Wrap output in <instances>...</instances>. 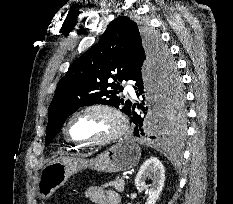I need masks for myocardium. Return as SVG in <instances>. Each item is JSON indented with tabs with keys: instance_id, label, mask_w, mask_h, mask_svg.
I'll list each match as a JSON object with an SVG mask.
<instances>
[{
	"instance_id": "obj_1",
	"label": "myocardium",
	"mask_w": 233,
	"mask_h": 204,
	"mask_svg": "<svg viewBox=\"0 0 233 204\" xmlns=\"http://www.w3.org/2000/svg\"><path fill=\"white\" fill-rule=\"evenodd\" d=\"M90 112H102L109 115L115 122L114 130L107 136L93 141L77 140L73 138L69 132L70 124L76 117ZM127 127H128V121L126 119V116L119 108L109 103H92L74 111L66 120L63 131L65 137L69 141L75 144L81 146H101V145L109 144L119 139L126 132Z\"/></svg>"
}]
</instances>
